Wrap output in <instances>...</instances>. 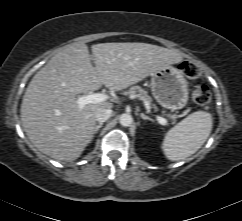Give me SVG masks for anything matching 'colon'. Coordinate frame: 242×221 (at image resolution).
<instances>
[{"label": "colon", "instance_id": "obj_1", "mask_svg": "<svg viewBox=\"0 0 242 221\" xmlns=\"http://www.w3.org/2000/svg\"><path fill=\"white\" fill-rule=\"evenodd\" d=\"M181 71L185 76L191 79H196L200 76L199 67L191 61H185L182 63ZM192 98L194 102L200 106L207 105L211 100V93L209 88L205 85L197 86L193 90Z\"/></svg>", "mask_w": 242, "mask_h": 221}]
</instances>
